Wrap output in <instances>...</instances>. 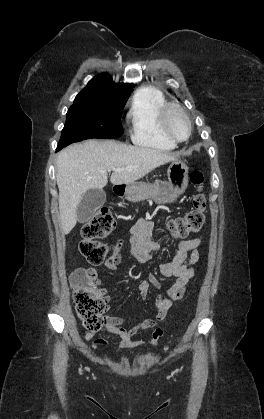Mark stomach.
Returning <instances> with one entry per match:
<instances>
[{"instance_id": "obj_1", "label": "stomach", "mask_w": 264, "mask_h": 419, "mask_svg": "<svg viewBox=\"0 0 264 419\" xmlns=\"http://www.w3.org/2000/svg\"><path fill=\"white\" fill-rule=\"evenodd\" d=\"M168 180H156L154 183L133 182L125 186L124 196L130 202L151 199L157 204L173 203L188 186V167L180 159L171 162Z\"/></svg>"}]
</instances>
